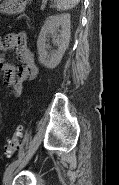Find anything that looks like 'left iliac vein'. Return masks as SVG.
Wrapping results in <instances>:
<instances>
[{
    "mask_svg": "<svg viewBox=\"0 0 119 185\" xmlns=\"http://www.w3.org/2000/svg\"><path fill=\"white\" fill-rule=\"evenodd\" d=\"M15 168L5 178V185H11V181L14 175Z\"/></svg>",
    "mask_w": 119,
    "mask_h": 185,
    "instance_id": "left-iliac-vein-1",
    "label": "left iliac vein"
}]
</instances>
